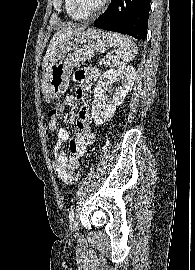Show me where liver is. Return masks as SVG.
Wrapping results in <instances>:
<instances>
[{
    "instance_id": "liver-1",
    "label": "liver",
    "mask_w": 195,
    "mask_h": 270,
    "mask_svg": "<svg viewBox=\"0 0 195 270\" xmlns=\"http://www.w3.org/2000/svg\"><path fill=\"white\" fill-rule=\"evenodd\" d=\"M82 30H84V27L79 28L75 25H68V26L63 27L61 30L57 31L54 34L43 59V64H42L43 70L48 66L49 62L55 58L62 44L63 38Z\"/></svg>"
}]
</instances>
